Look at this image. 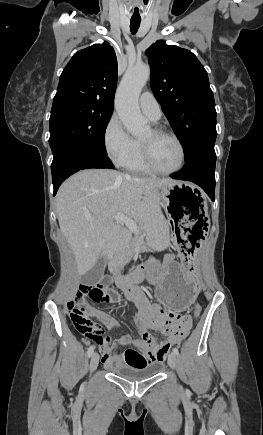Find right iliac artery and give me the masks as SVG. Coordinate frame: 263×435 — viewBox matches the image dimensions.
<instances>
[{"mask_svg": "<svg viewBox=\"0 0 263 435\" xmlns=\"http://www.w3.org/2000/svg\"><path fill=\"white\" fill-rule=\"evenodd\" d=\"M94 345H91L89 348H88V351H87V355H88V357H91L92 356V354H93V352H94Z\"/></svg>", "mask_w": 263, "mask_h": 435, "instance_id": "1", "label": "right iliac artery"}]
</instances>
